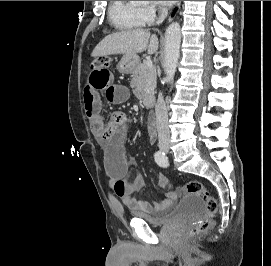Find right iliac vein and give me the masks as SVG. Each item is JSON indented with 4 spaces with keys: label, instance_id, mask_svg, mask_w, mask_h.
Here are the masks:
<instances>
[{
    "label": "right iliac vein",
    "instance_id": "63e3f726",
    "mask_svg": "<svg viewBox=\"0 0 271 266\" xmlns=\"http://www.w3.org/2000/svg\"><path fill=\"white\" fill-rule=\"evenodd\" d=\"M159 147L163 152H168L170 148V144L169 142H162L160 143Z\"/></svg>",
    "mask_w": 271,
    "mask_h": 266
}]
</instances>
